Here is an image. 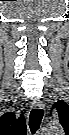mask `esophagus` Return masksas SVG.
Here are the masks:
<instances>
[{
	"label": "esophagus",
	"instance_id": "obj_1",
	"mask_svg": "<svg viewBox=\"0 0 69 135\" xmlns=\"http://www.w3.org/2000/svg\"><path fill=\"white\" fill-rule=\"evenodd\" d=\"M32 107L35 109H43L44 108V103L40 100H36L32 102Z\"/></svg>",
	"mask_w": 69,
	"mask_h": 135
}]
</instances>
